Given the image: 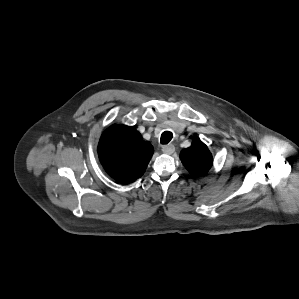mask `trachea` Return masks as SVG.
<instances>
[{"label": "trachea", "instance_id": "1", "mask_svg": "<svg viewBox=\"0 0 299 299\" xmlns=\"http://www.w3.org/2000/svg\"><path fill=\"white\" fill-rule=\"evenodd\" d=\"M172 138H173L172 132L165 131L161 135L160 142H161V144H168L171 141Z\"/></svg>", "mask_w": 299, "mask_h": 299}]
</instances>
